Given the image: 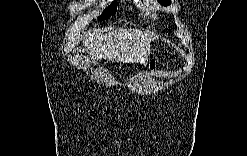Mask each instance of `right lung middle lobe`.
Returning a JSON list of instances; mask_svg holds the SVG:
<instances>
[{
	"label": "right lung middle lobe",
	"instance_id": "dd1d6c3e",
	"mask_svg": "<svg viewBox=\"0 0 247 156\" xmlns=\"http://www.w3.org/2000/svg\"><path fill=\"white\" fill-rule=\"evenodd\" d=\"M117 11V3H111L110 6L106 8V10L102 13V15L98 18V20H106L111 16H114Z\"/></svg>",
	"mask_w": 247,
	"mask_h": 156
}]
</instances>
